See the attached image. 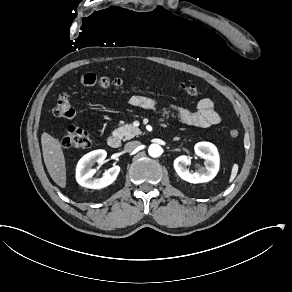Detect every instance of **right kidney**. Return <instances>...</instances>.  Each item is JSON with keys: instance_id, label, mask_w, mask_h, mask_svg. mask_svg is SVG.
Instances as JSON below:
<instances>
[{"instance_id": "ca27d5eb", "label": "right kidney", "mask_w": 292, "mask_h": 292, "mask_svg": "<svg viewBox=\"0 0 292 292\" xmlns=\"http://www.w3.org/2000/svg\"><path fill=\"white\" fill-rule=\"evenodd\" d=\"M107 156L105 150H96L85 155L77 165L76 179L77 182L89 189H102L111 185L116 179L120 172V166L115 165L103 173L101 177L94 178L96 169H92L91 166L94 163H102Z\"/></svg>"}]
</instances>
